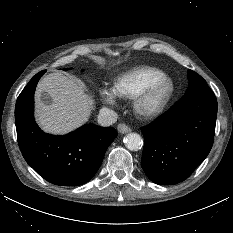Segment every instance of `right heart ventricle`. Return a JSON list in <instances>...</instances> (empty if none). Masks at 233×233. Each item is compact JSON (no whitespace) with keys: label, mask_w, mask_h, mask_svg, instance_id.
Instances as JSON below:
<instances>
[{"label":"right heart ventricle","mask_w":233,"mask_h":233,"mask_svg":"<svg viewBox=\"0 0 233 233\" xmlns=\"http://www.w3.org/2000/svg\"><path fill=\"white\" fill-rule=\"evenodd\" d=\"M164 76V72L152 66H137L119 76L114 89L119 97L133 98L147 85Z\"/></svg>","instance_id":"e07e8e85"}]
</instances>
